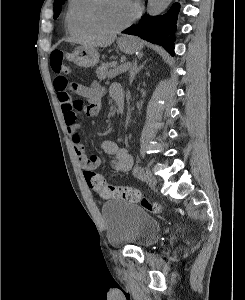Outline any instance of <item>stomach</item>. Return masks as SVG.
Wrapping results in <instances>:
<instances>
[{"label": "stomach", "mask_w": 245, "mask_h": 300, "mask_svg": "<svg viewBox=\"0 0 245 300\" xmlns=\"http://www.w3.org/2000/svg\"><path fill=\"white\" fill-rule=\"evenodd\" d=\"M117 44L118 48L126 54L135 53L143 48V43L131 36L119 38ZM73 59L76 65L89 68L99 62V53L94 47H79L73 52Z\"/></svg>", "instance_id": "stomach-1"}]
</instances>
